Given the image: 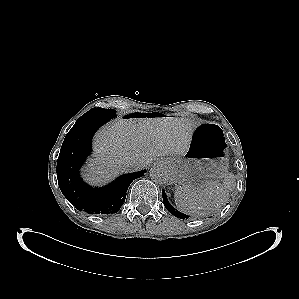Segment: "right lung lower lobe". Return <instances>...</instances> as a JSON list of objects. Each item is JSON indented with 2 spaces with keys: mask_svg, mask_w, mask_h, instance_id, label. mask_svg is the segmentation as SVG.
<instances>
[{
  "mask_svg": "<svg viewBox=\"0 0 299 299\" xmlns=\"http://www.w3.org/2000/svg\"><path fill=\"white\" fill-rule=\"evenodd\" d=\"M109 120L77 121L67 133L57 161V178L61 192L77 210L88 214L117 212L125 202L131 182L146 172L142 170L121 175L103 188L90 187L79 177V169L91 152L94 133Z\"/></svg>",
  "mask_w": 299,
  "mask_h": 299,
  "instance_id": "1",
  "label": "right lung lower lobe"
}]
</instances>
